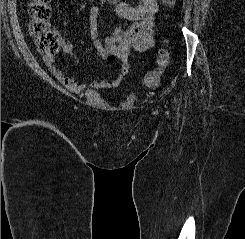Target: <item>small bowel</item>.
Wrapping results in <instances>:
<instances>
[{"instance_id":"small-bowel-1","label":"small bowel","mask_w":245,"mask_h":239,"mask_svg":"<svg viewBox=\"0 0 245 239\" xmlns=\"http://www.w3.org/2000/svg\"><path fill=\"white\" fill-rule=\"evenodd\" d=\"M111 6L118 17L132 21L133 23L126 30L119 27L112 28L109 35L102 40L99 37L96 22L97 9H92L89 27L92 46L100 57L108 63H113L116 60L119 61L120 68L119 74L114 79L103 77L92 81L88 85L91 89L118 88L129 73L130 51L146 52L154 45L153 26L154 15L158 11L157 0H140V3L135 6L120 0H112ZM62 50L67 56L75 62H78L73 45L66 38L62 41ZM43 61L55 78L69 91L80 93L87 87L86 84L67 76L63 69L57 67L55 65L54 55H45Z\"/></svg>"}]
</instances>
